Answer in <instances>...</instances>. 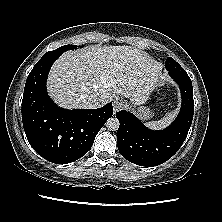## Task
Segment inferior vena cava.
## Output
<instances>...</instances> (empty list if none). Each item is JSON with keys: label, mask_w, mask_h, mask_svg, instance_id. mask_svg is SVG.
Returning a JSON list of instances; mask_svg holds the SVG:
<instances>
[{"label": "inferior vena cava", "mask_w": 222, "mask_h": 222, "mask_svg": "<svg viewBox=\"0 0 222 222\" xmlns=\"http://www.w3.org/2000/svg\"><path fill=\"white\" fill-rule=\"evenodd\" d=\"M82 102L87 108H98L101 106V101L96 96L87 95L83 97Z\"/></svg>", "instance_id": "1"}]
</instances>
